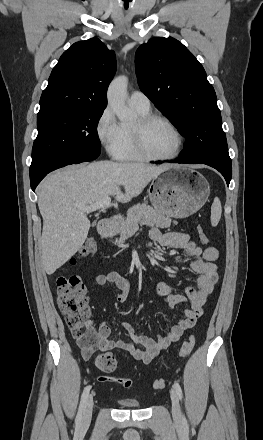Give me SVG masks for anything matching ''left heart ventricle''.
Masks as SVG:
<instances>
[{"label": "left heart ventricle", "mask_w": 263, "mask_h": 440, "mask_svg": "<svg viewBox=\"0 0 263 440\" xmlns=\"http://www.w3.org/2000/svg\"><path fill=\"white\" fill-rule=\"evenodd\" d=\"M138 120L132 125L136 126ZM144 142L147 150L158 156L172 154L177 147V137L166 123L156 121L144 130Z\"/></svg>", "instance_id": "b2bd125f"}]
</instances>
